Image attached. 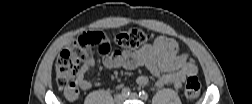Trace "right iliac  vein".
<instances>
[{
	"label": "right iliac vein",
	"mask_w": 252,
	"mask_h": 104,
	"mask_svg": "<svg viewBox=\"0 0 252 104\" xmlns=\"http://www.w3.org/2000/svg\"><path fill=\"white\" fill-rule=\"evenodd\" d=\"M123 100H124V97L122 94H117L114 97V101L116 104H121L123 102Z\"/></svg>",
	"instance_id": "1"
}]
</instances>
